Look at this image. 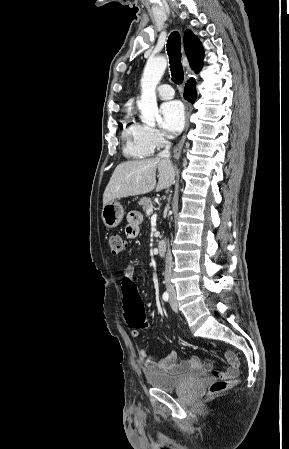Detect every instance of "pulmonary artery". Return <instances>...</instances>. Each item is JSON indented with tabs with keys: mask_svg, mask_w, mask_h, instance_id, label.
<instances>
[{
	"mask_svg": "<svg viewBox=\"0 0 289 449\" xmlns=\"http://www.w3.org/2000/svg\"><path fill=\"white\" fill-rule=\"evenodd\" d=\"M158 95L162 99H171L174 97V90L169 84H162L157 88Z\"/></svg>",
	"mask_w": 289,
	"mask_h": 449,
	"instance_id": "pulmonary-artery-1",
	"label": "pulmonary artery"
}]
</instances>
